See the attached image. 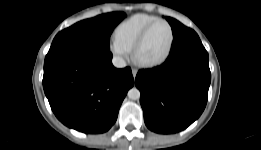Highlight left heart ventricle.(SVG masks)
I'll use <instances>...</instances> for the list:
<instances>
[{
  "instance_id": "left-heart-ventricle-1",
  "label": "left heart ventricle",
  "mask_w": 261,
  "mask_h": 150,
  "mask_svg": "<svg viewBox=\"0 0 261 150\" xmlns=\"http://www.w3.org/2000/svg\"><path fill=\"white\" fill-rule=\"evenodd\" d=\"M170 31L166 24L159 23L149 32L143 43L139 57L142 60H155L163 56L168 48Z\"/></svg>"
}]
</instances>
